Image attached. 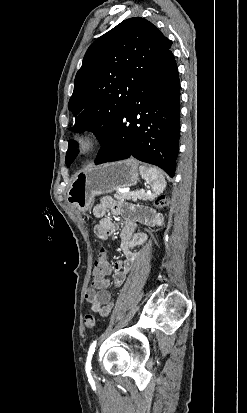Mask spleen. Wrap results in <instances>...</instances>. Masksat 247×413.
I'll use <instances>...</instances> for the list:
<instances>
[{
	"label": "spleen",
	"instance_id": "obj_1",
	"mask_svg": "<svg viewBox=\"0 0 247 413\" xmlns=\"http://www.w3.org/2000/svg\"><path fill=\"white\" fill-rule=\"evenodd\" d=\"M140 174L142 178H145L147 182H150L153 192L155 194H161L166 186V180L159 168H155V166H139Z\"/></svg>",
	"mask_w": 247,
	"mask_h": 413
}]
</instances>
